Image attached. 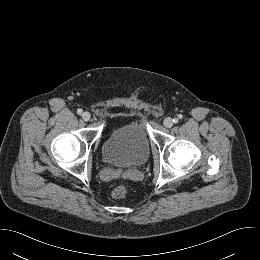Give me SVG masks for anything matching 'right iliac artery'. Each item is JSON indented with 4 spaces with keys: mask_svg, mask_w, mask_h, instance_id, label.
Listing matches in <instances>:
<instances>
[{
    "mask_svg": "<svg viewBox=\"0 0 260 260\" xmlns=\"http://www.w3.org/2000/svg\"><path fill=\"white\" fill-rule=\"evenodd\" d=\"M82 112H83V110H82V109H78V110H77V113H78L79 115H81V114H82Z\"/></svg>",
    "mask_w": 260,
    "mask_h": 260,
    "instance_id": "82829eb1",
    "label": "right iliac artery"
}]
</instances>
